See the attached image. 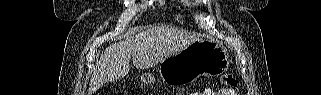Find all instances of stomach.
<instances>
[{
  "instance_id": "stomach-1",
  "label": "stomach",
  "mask_w": 321,
  "mask_h": 95,
  "mask_svg": "<svg viewBox=\"0 0 321 95\" xmlns=\"http://www.w3.org/2000/svg\"><path fill=\"white\" fill-rule=\"evenodd\" d=\"M229 62V53L223 46L199 39L160 62L159 73L165 83L180 85L200 76L219 75L227 70ZM154 80L149 73L141 76V82L146 85Z\"/></svg>"
}]
</instances>
